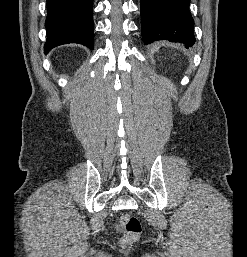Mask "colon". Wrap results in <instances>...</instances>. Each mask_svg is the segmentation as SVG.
I'll return each mask as SVG.
<instances>
[{"mask_svg":"<svg viewBox=\"0 0 247 257\" xmlns=\"http://www.w3.org/2000/svg\"><path fill=\"white\" fill-rule=\"evenodd\" d=\"M120 225L123 229V235L120 239L122 246H129L140 238L142 224L136 216L127 213L123 214L120 218Z\"/></svg>","mask_w":247,"mask_h":257,"instance_id":"1","label":"colon"}]
</instances>
